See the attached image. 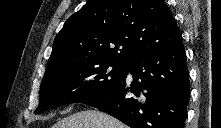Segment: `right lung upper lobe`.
<instances>
[{
    "label": "right lung upper lobe",
    "mask_w": 221,
    "mask_h": 128,
    "mask_svg": "<svg viewBox=\"0 0 221 128\" xmlns=\"http://www.w3.org/2000/svg\"><path fill=\"white\" fill-rule=\"evenodd\" d=\"M181 42L164 0H90L57 34L46 72L77 61L127 65Z\"/></svg>",
    "instance_id": "cb5924a9"
}]
</instances>
